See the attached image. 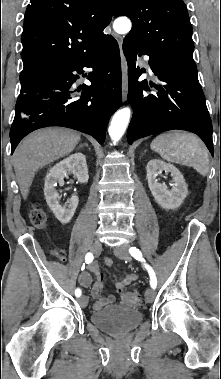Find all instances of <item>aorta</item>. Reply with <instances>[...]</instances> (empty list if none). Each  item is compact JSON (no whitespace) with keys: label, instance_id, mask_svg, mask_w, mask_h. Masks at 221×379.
Returning a JSON list of instances; mask_svg holds the SVG:
<instances>
[{"label":"aorta","instance_id":"762f6f07","mask_svg":"<svg viewBox=\"0 0 221 379\" xmlns=\"http://www.w3.org/2000/svg\"><path fill=\"white\" fill-rule=\"evenodd\" d=\"M113 28L119 34L128 33L131 29V21L126 17H119L114 21ZM131 110L128 107L119 109L112 117L109 126V135L114 142H118L129 123Z\"/></svg>","mask_w":221,"mask_h":379}]
</instances>
